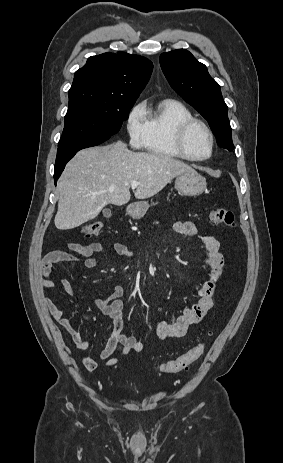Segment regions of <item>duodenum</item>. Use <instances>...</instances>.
<instances>
[{
  "mask_svg": "<svg viewBox=\"0 0 283 463\" xmlns=\"http://www.w3.org/2000/svg\"><path fill=\"white\" fill-rule=\"evenodd\" d=\"M135 208H136V205H135V204H131V205H129L128 210H129V211H133Z\"/></svg>",
  "mask_w": 283,
  "mask_h": 463,
  "instance_id": "410a0bca",
  "label": "duodenum"
}]
</instances>
